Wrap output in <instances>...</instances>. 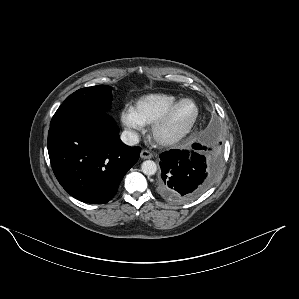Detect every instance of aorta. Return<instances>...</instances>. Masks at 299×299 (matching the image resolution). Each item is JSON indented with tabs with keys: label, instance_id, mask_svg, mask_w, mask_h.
<instances>
[{
	"label": "aorta",
	"instance_id": "aorta-1",
	"mask_svg": "<svg viewBox=\"0 0 299 299\" xmlns=\"http://www.w3.org/2000/svg\"><path fill=\"white\" fill-rule=\"evenodd\" d=\"M141 170L145 175H154L157 171V165L152 160H146L141 165Z\"/></svg>",
	"mask_w": 299,
	"mask_h": 299
}]
</instances>
